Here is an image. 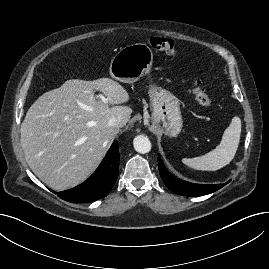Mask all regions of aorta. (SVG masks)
<instances>
[{"instance_id": "obj_1", "label": "aorta", "mask_w": 269, "mask_h": 269, "mask_svg": "<svg viewBox=\"0 0 269 269\" xmlns=\"http://www.w3.org/2000/svg\"><path fill=\"white\" fill-rule=\"evenodd\" d=\"M134 149L141 154H145L150 152L151 150V142L148 137L144 135H138L133 140Z\"/></svg>"}]
</instances>
